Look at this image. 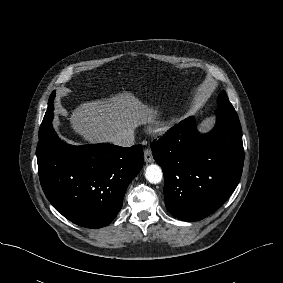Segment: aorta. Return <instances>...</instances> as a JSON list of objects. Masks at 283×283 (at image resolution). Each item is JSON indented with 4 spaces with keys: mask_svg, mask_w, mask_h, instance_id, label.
<instances>
[{
    "mask_svg": "<svg viewBox=\"0 0 283 283\" xmlns=\"http://www.w3.org/2000/svg\"><path fill=\"white\" fill-rule=\"evenodd\" d=\"M162 170L156 164H150L146 167L145 177L152 184H158L162 180Z\"/></svg>",
    "mask_w": 283,
    "mask_h": 283,
    "instance_id": "1",
    "label": "aorta"
}]
</instances>
